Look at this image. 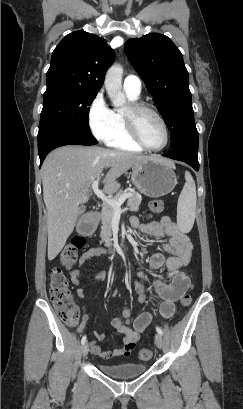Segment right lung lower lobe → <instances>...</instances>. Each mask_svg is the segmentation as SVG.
I'll return each mask as SVG.
<instances>
[{
    "label": "right lung lower lobe",
    "mask_w": 243,
    "mask_h": 409,
    "mask_svg": "<svg viewBox=\"0 0 243 409\" xmlns=\"http://www.w3.org/2000/svg\"><path fill=\"white\" fill-rule=\"evenodd\" d=\"M37 141L40 166L43 163L46 155L57 147L69 144H97V140L91 133L63 126H53L41 133H38Z\"/></svg>",
    "instance_id": "right-lung-lower-lobe-1"
}]
</instances>
